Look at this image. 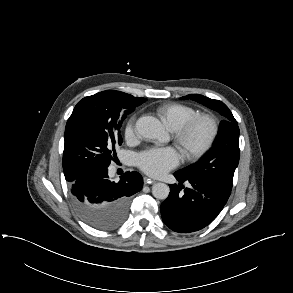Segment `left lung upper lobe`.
I'll list each match as a JSON object with an SVG mask.
<instances>
[{
  "label": "left lung upper lobe",
  "mask_w": 293,
  "mask_h": 293,
  "mask_svg": "<svg viewBox=\"0 0 293 293\" xmlns=\"http://www.w3.org/2000/svg\"><path fill=\"white\" fill-rule=\"evenodd\" d=\"M182 99H191L219 112L224 120L213 147L195 164L177 171L181 175L194 176L214 181L232 189L234 171L239 163V127L232 112L219 100L199 94H190Z\"/></svg>",
  "instance_id": "1"
}]
</instances>
